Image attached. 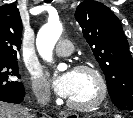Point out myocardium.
<instances>
[{"label": "myocardium", "mask_w": 133, "mask_h": 118, "mask_svg": "<svg viewBox=\"0 0 133 118\" xmlns=\"http://www.w3.org/2000/svg\"><path fill=\"white\" fill-rule=\"evenodd\" d=\"M74 71H84L91 73L96 80L98 93L95 99L87 104H78L68 99L66 101L67 106L77 112H88L98 108L105 101L108 93L106 80L103 74L97 67L90 64H79L74 68Z\"/></svg>", "instance_id": "1"}]
</instances>
